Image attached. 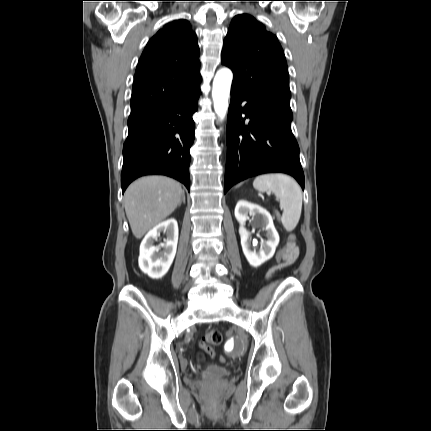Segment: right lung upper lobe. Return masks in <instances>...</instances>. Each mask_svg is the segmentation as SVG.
<instances>
[{
  "label": "right lung upper lobe",
  "instance_id": "right-lung-upper-lobe-1",
  "mask_svg": "<svg viewBox=\"0 0 431 431\" xmlns=\"http://www.w3.org/2000/svg\"><path fill=\"white\" fill-rule=\"evenodd\" d=\"M201 81L197 37L186 20L159 30L138 62L131 113L167 103Z\"/></svg>",
  "mask_w": 431,
  "mask_h": 431
}]
</instances>
